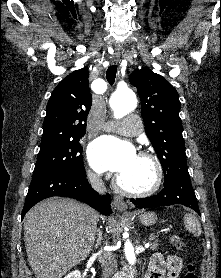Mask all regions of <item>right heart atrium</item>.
Masks as SVG:
<instances>
[{
    "instance_id": "right-heart-atrium-1",
    "label": "right heart atrium",
    "mask_w": 221,
    "mask_h": 278,
    "mask_svg": "<svg viewBox=\"0 0 221 278\" xmlns=\"http://www.w3.org/2000/svg\"><path fill=\"white\" fill-rule=\"evenodd\" d=\"M87 176H88V178L90 179V180H92V181H95V180H97V175L96 174H94L93 172H91L90 170H87Z\"/></svg>"
}]
</instances>
